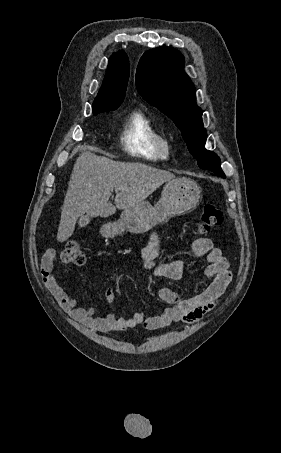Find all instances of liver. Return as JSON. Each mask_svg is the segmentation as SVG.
Instances as JSON below:
<instances>
[{"instance_id": "obj_1", "label": "liver", "mask_w": 281, "mask_h": 453, "mask_svg": "<svg viewBox=\"0 0 281 453\" xmlns=\"http://www.w3.org/2000/svg\"><path fill=\"white\" fill-rule=\"evenodd\" d=\"M172 178H175L173 172L143 162H119L108 156H97L90 150L81 152L68 182L57 241L64 243L73 235L81 214L111 216L116 208H131L136 202H142ZM113 190L116 192L115 204L109 202Z\"/></svg>"}]
</instances>
